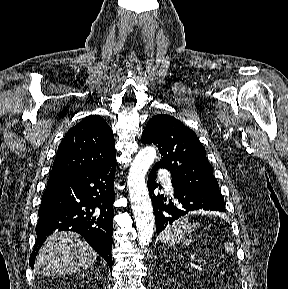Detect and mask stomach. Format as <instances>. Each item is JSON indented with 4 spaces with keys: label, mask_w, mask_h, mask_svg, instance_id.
Wrapping results in <instances>:
<instances>
[{
    "label": "stomach",
    "mask_w": 288,
    "mask_h": 289,
    "mask_svg": "<svg viewBox=\"0 0 288 289\" xmlns=\"http://www.w3.org/2000/svg\"><path fill=\"white\" fill-rule=\"evenodd\" d=\"M192 242H193V240L191 238H186V239L184 238V239H182L181 244L183 246H189Z\"/></svg>",
    "instance_id": "0dacf381"
}]
</instances>
